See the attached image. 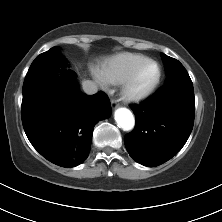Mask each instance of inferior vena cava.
<instances>
[{"label":"inferior vena cava","mask_w":222,"mask_h":222,"mask_svg":"<svg viewBox=\"0 0 222 222\" xmlns=\"http://www.w3.org/2000/svg\"><path fill=\"white\" fill-rule=\"evenodd\" d=\"M82 87H83L84 92L88 95H93V94L97 93V91H98L97 85L91 80L83 81Z\"/></svg>","instance_id":"obj_1"}]
</instances>
